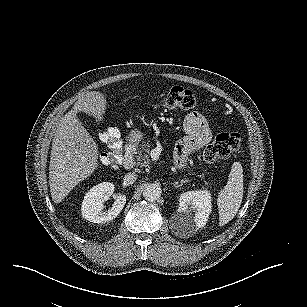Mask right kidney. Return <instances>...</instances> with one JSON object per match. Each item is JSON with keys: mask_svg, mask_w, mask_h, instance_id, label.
Listing matches in <instances>:
<instances>
[{"mask_svg": "<svg viewBox=\"0 0 307 307\" xmlns=\"http://www.w3.org/2000/svg\"><path fill=\"white\" fill-rule=\"evenodd\" d=\"M115 186L112 182H101L94 185L84 196L80 215L93 223H106L117 217L126 204V198L118 195L113 205L106 209L105 201L113 196Z\"/></svg>", "mask_w": 307, "mask_h": 307, "instance_id": "1", "label": "right kidney"}]
</instances>
